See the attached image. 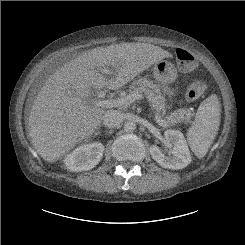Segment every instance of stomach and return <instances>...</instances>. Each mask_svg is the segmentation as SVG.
<instances>
[{"mask_svg":"<svg viewBox=\"0 0 245 245\" xmlns=\"http://www.w3.org/2000/svg\"><path fill=\"white\" fill-rule=\"evenodd\" d=\"M153 76L156 82L163 88L165 94L169 96L175 95V89L169 87L178 76L177 69L172 63L166 60L155 63L153 67Z\"/></svg>","mask_w":245,"mask_h":245,"instance_id":"1","label":"stomach"}]
</instances>
